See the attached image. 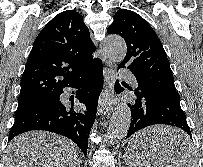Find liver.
<instances>
[{
    "instance_id": "obj_1",
    "label": "liver",
    "mask_w": 203,
    "mask_h": 167,
    "mask_svg": "<svg viewBox=\"0 0 203 167\" xmlns=\"http://www.w3.org/2000/svg\"><path fill=\"white\" fill-rule=\"evenodd\" d=\"M187 138L179 129L154 126L137 133L129 144L143 147L154 143L162 161L175 163L187 159L191 151L190 146L186 149L177 146ZM78 161V148L71 140L45 131H31L15 137L4 157L5 167H76Z\"/></svg>"
}]
</instances>
